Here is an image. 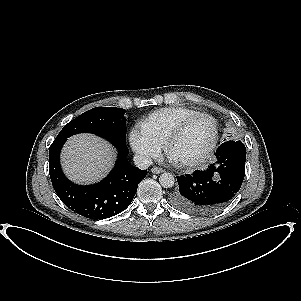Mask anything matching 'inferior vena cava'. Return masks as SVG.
<instances>
[{
	"mask_svg": "<svg viewBox=\"0 0 301 301\" xmlns=\"http://www.w3.org/2000/svg\"><path fill=\"white\" fill-rule=\"evenodd\" d=\"M133 162L134 165L141 169V170H146L149 168V166L152 165V159L148 156L145 155H140V154H135L133 157Z\"/></svg>",
	"mask_w": 301,
	"mask_h": 301,
	"instance_id": "obj_1",
	"label": "inferior vena cava"
}]
</instances>
